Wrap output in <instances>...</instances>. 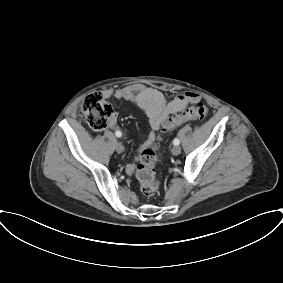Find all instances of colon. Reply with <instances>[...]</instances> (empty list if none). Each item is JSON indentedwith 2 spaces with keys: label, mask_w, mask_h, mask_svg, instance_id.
<instances>
[{
  "label": "colon",
  "mask_w": 283,
  "mask_h": 283,
  "mask_svg": "<svg viewBox=\"0 0 283 283\" xmlns=\"http://www.w3.org/2000/svg\"><path fill=\"white\" fill-rule=\"evenodd\" d=\"M113 114L112 106L100 93L87 95L80 104L78 118L86 122L94 130H103L108 126ZM208 114V108L202 102H195L183 113L175 114L163 124V132H168L187 120L203 119ZM157 155L153 148L142 150L136 165V177L140 190L146 197L154 196L159 189L156 176Z\"/></svg>",
  "instance_id": "1"
}]
</instances>
